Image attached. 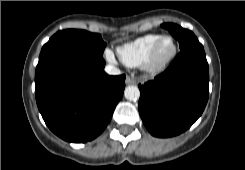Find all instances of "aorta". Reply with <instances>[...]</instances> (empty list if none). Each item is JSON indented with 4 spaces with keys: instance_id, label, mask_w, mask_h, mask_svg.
Returning a JSON list of instances; mask_svg holds the SVG:
<instances>
[{
    "instance_id": "1",
    "label": "aorta",
    "mask_w": 245,
    "mask_h": 170,
    "mask_svg": "<svg viewBox=\"0 0 245 170\" xmlns=\"http://www.w3.org/2000/svg\"><path fill=\"white\" fill-rule=\"evenodd\" d=\"M124 96L127 100L136 101L140 97V91L137 86H127L124 91Z\"/></svg>"
}]
</instances>
